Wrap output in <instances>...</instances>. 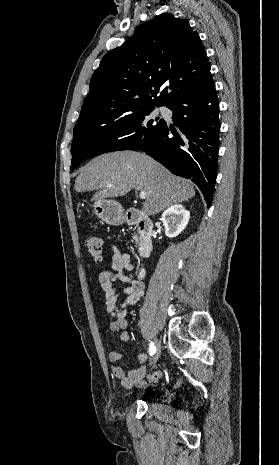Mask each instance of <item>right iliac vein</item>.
I'll return each mask as SVG.
<instances>
[{"instance_id": "63e3f726", "label": "right iliac vein", "mask_w": 279, "mask_h": 465, "mask_svg": "<svg viewBox=\"0 0 279 465\" xmlns=\"http://www.w3.org/2000/svg\"><path fill=\"white\" fill-rule=\"evenodd\" d=\"M155 346H156V352H155V355L153 357V360H152V363H156L157 360L159 359L160 355H161V343L159 340H155Z\"/></svg>"}]
</instances>
